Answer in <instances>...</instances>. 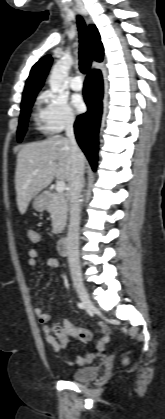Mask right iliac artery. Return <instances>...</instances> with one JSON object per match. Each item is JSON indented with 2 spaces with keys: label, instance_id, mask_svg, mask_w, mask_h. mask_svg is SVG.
<instances>
[{
  "label": "right iliac artery",
  "instance_id": "right-iliac-artery-1",
  "mask_svg": "<svg viewBox=\"0 0 165 419\" xmlns=\"http://www.w3.org/2000/svg\"><path fill=\"white\" fill-rule=\"evenodd\" d=\"M77 306H78L80 309H83V308H84V306H83V304H82V303H78V304H77Z\"/></svg>",
  "mask_w": 165,
  "mask_h": 419
}]
</instances>
